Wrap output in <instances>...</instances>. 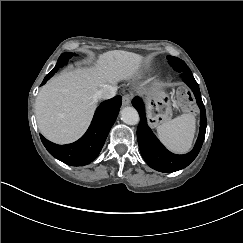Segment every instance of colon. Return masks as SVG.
<instances>
[{
  "label": "colon",
  "instance_id": "1",
  "mask_svg": "<svg viewBox=\"0 0 243 243\" xmlns=\"http://www.w3.org/2000/svg\"><path fill=\"white\" fill-rule=\"evenodd\" d=\"M178 102L180 107L185 112H193V106H192V98L188 91L186 90H179L177 93Z\"/></svg>",
  "mask_w": 243,
  "mask_h": 243
}]
</instances>
